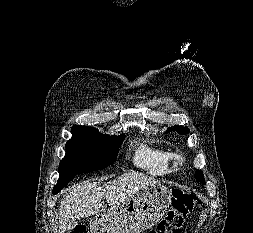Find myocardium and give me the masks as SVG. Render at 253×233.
I'll return each instance as SVG.
<instances>
[{
    "instance_id": "myocardium-1",
    "label": "myocardium",
    "mask_w": 253,
    "mask_h": 233,
    "mask_svg": "<svg viewBox=\"0 0 253 233\" xmlns=\"http://www.w3.org/2000/svg\"><path fill=\"white\" fill-rule=\"evenodd\" d=\"M184 163V157L182 155H174L170 161L169 167L170 170H178L183 166Z\"/></svg>"
}]
</instances>
